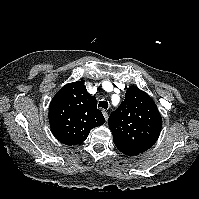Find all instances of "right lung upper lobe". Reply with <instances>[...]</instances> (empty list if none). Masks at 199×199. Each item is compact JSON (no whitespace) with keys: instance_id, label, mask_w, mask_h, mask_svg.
<instances>
[{"instance_id":"right-lung-upper-lobe-1","label":"right lung upper lobe","mask_w":199,"mask_h":199,"mask_svg":"<svg viewBox=\"0 0 199 199\" xmlns=\"http://www.w3.org/2000/svg\"><path fill=\"white\" fill-rule=\"evenodd\" d=\"M96 105V98L87 92L83 82L66 84L56 93L49 106L53 135L66 145L85 141L91 129L105 122Z\"/></svg>"}]
</instances>
